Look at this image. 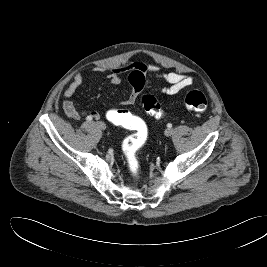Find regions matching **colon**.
Wrapping results in <instances>:
<instances>
[{"mask_svg":"<svg viewBox=\"0 0 267 267\" xmlns=\"http://www.w3.org/2000/svg\"><path fill=\"white\" fill-rule=\"evenodd\" d=\"M141 104L147 114L155 118H162L164 116L161 105L153 95H143ZM184 106L189 111L202 114L208 106L207 98L202 92L192 90L186 94ZM105 118L113 125L133 131L131 135L124 139L122 151L126 156L130 172L133 176H138L139 163L137 153L143 147L148 137L146 125L141 119L133 116L129 111L117 107L107 109Z\"/></svg>","mask_w":267,"mask_h":267,"instance_id":"colon-1","label":"colon"}]
</instances>
